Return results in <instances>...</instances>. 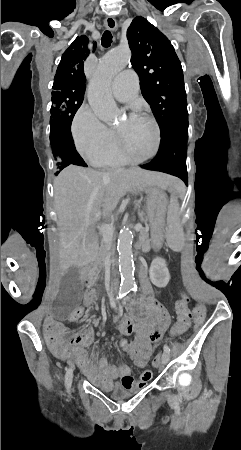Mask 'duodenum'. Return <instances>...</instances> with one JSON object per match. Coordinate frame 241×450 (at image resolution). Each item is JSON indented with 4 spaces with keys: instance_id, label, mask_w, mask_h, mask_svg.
Wrapping results in <instances>:
<instances>
[{
    "instance_id": "1",
    "label": "duodenum",
    "mask_w": 241,
    "mask_h": 450,
    "mask_svg": "<svg viewBox=\"0 0 241 450\" xmlns=\"http://www.w3.org/2000/svg\"><path fill=\"white\" fill-rule=\"evenodd\" d=\"M140 277H141V281H142L143 287H144L145 289H147V285H146V283H145L144 275H143V272H142V271H141ZM82 281H83L84 283H86V284H90V283L92 282V275H91V272H90V271L85 270V271L82 273ZM118 288H119V279H118V278H114V279H112L111 282L108 284L107 290H108L109 293H113V292H115L116 290H118Z\"/></svg>"
}]
</instances>
